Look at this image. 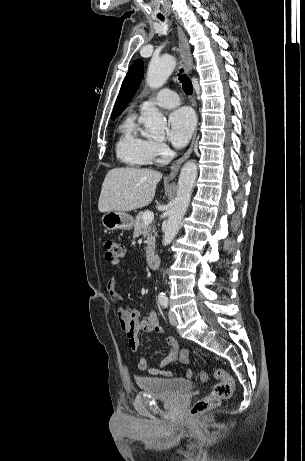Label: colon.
Segmentation results:
<instances>
[{
	"label": "colon",
	"mask_w": 305,
	"mask_h": 461,
	"mask_svg": "<svg viewBox=\"0 0 305 461\" xmlns=\"http://www.w3.org/2000/svg\"><path fill=\"white\" fill-rule=\"evenodd\" d=\"M104 249L105 257L112 265H117L125 256L124 246L116 240H106L104 242ZM214 377L217 379V383L207 395L195 402L190 410L191 416L196 417L205 413L231 397L235 384L233 376L223 369H216ZM208 378L209 374L206 370H201L198 373L200 381L206 382Z\"/></svg>",
	"instance_id": "colon-1"
}]
</instances>
